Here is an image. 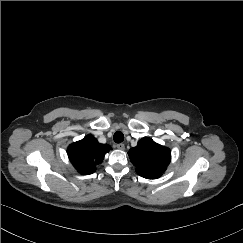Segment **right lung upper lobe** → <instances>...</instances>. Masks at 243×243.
I'll return each mask as SVG.
<instances>
[{
  "mask_svg": "<svg viewBox=\"0 0 243 243\" xmlns=\"http://www.w3.org/2000/svg\"><path fill=\"white\" fill-rule=\"evenodd\" d=\"M111 147L108 144H100L91 134L82 140L69 145L68 157L81 174H92L96 166L102 163L104 156Z\"/></svg>",
  "mask_w": 243,
  "mask_h": 243,
  "instance_id": "obj_1",
  "label": "right lung upper lobe"
}]
</instances>
